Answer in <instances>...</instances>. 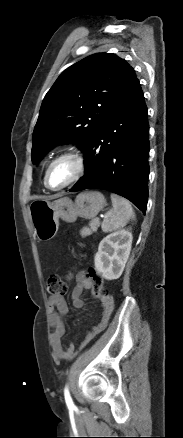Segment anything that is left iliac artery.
Listing matches in <instances>:
<instances>
[{"label":"left iliac artery","mask_w":183,"mask_h":438,"mask_svg":"<svg viewBox=\"0 0 183 438\" xmlns=\"http://www.w3.org/2000/svg\"><path fill=\"white\" fill-rule=\"evenodd\" d=\"M64 397H65V401H66L67 406L68 407H73L74 403H73L72 398L70 396L68 387H65V389H64Z\"/></svg>","instance_id":"obj_1"}]
</instances>
